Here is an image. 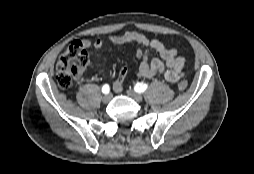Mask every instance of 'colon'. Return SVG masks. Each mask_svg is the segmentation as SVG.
Listing matches in <instances>:
<instances>
[{"label":"colon","mask_w":254,"mask_h":174,"mask_svg":"<svg viewBox=\"0 0 254 174\" xmlns=\"http://www.w3.org/2000/svg\"><path fill=\"white\" fill-rule=\"evenodd\" d=\"M89 63V55L81 41L72 42L60 56L55 79L60 88H69L75 76L81 73ZM177 88L184 91L187 88V81L181 79Z\"/></svg>","instance_id":"colon-1"}]
</instances>
